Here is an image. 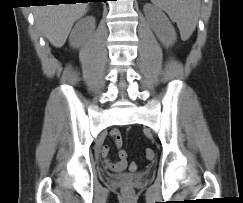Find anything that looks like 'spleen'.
<instances>
[{
  "label": "spleen",
  "mask_w": 243,
  "mask_h": 203,
  "mask_svg": "<svg viewBox=\"0 0 243 203\" xmlns=\"http://www.w3.org/2000/svg\"><path fill=\"white\" fill-rule=\"evenodd\" d=\"M151 2L176 22L182 40L190 38L198 22L200 0H151Z\"/></svg>",
  "instance_id": "1"
}]
</instances>
